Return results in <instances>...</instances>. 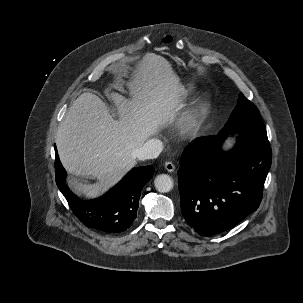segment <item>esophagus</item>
Segmentation results:
<instances>
[{"mask_svg": "<svg viewBox=\"0 0 303 303\" xmlns=\"http://www.w3.org/2000/svg\"><path fill=\"white\" fill-rule=\"evenodd\" d=\"M164 167L168 172H173L176 168L175 165L172 162H169V161L165 162Z\"/></svg>", "mask_w": 303, "mask_h": 303, "instance_id": "obj_1", "label": "esophagus"}]
</instances>
